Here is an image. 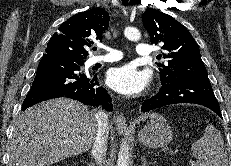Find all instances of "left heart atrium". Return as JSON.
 Masks as SVG:
<instances>
[{"instance_id":"39dd6f15","label":"left heart atrium","mask_w":231,"mask_h":166,"mask_svg":"<svg viewBox=\"0 0 231 166\" xmlns=\"http://www.w3.org/2000/svg\"><path fill=\"white\" fill-rule=\"evenodd\" d=\"M149 80L150 77L146 71L138 70L131 64L112 68L107 75L109 86L127 96L141 93L148 85Z\"/></svg>"}]
</instances>
